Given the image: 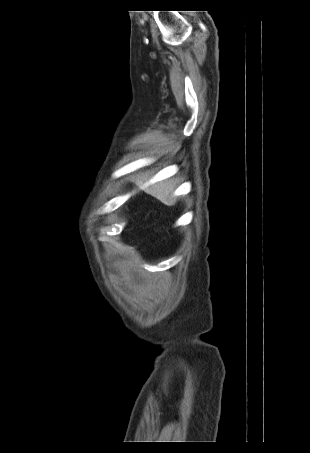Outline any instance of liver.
I'll return each mask as SVG.
<instances>
[{
    "label": "liver",
    "mask_w": 310,
    "mask_h": 453,
    "mask_svg": "<svg viewBox=\"0 0 310 453\" xmlns=\"http://www.w3.org/2000/svg\"><path fill=\"white\" fill-rule=\"evenodd\" d=\"M146 180V176H139L136 180V183L137 185H142ZM145 191L168 206H172L176 202L175 198L171 197V194L174 191V185L171 181H164L154 184L151 187L146 188Z\"/></svg>",
    "instance_id": "liver-1"
}]
</instances>
